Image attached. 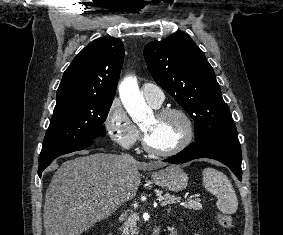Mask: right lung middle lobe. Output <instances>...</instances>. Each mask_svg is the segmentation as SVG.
I'll use <instances>...</instances> for the list:
<instances>
[{"mask_svg":"<svg viewBox=\"0 0 283 235\" xmlns=\"http://www.w3.org/2000/svg\"><path fill=\"white\" fill-rule=\"evenodd\" d=\"M113 99L87 97L57 102L46 132L39 162L57 151L79 142H88L105 135L102 126Z\"/></svg>","mask_w":283,"mask_h":235,"instance_id":"obj_1","label":"right lung middle lobe"}]
</instances>
